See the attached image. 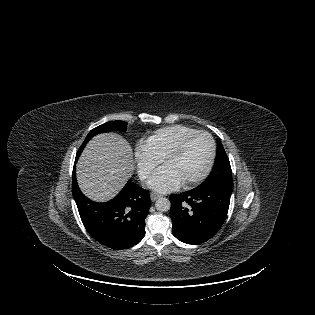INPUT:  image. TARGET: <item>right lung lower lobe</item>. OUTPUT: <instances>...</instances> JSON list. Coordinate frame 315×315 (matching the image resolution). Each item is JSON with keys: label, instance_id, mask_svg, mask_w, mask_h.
<instances>
[{"label": "right lung lower lobe", "instance_id": "98d812e1", "mask_svg": "<svg viewBox=\"0 0 315 315\" xmlns=\"http://www.w3.org/2000/svg\"><path fill=\"white\" fill-rule=\"evenodd\" d=\"M72 193L85 228L99 243L121 250L144 237L145 218L151 206L147 190L128 181L114 199L93 202L80 191L74 169Z\"/></svg>", "mask_w": 315, "mask_h": 315}]
</instances>
